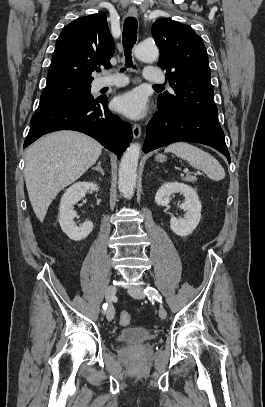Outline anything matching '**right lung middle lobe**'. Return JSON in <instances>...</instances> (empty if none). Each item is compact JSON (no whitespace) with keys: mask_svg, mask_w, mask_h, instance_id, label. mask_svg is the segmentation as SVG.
<instances>
[{"mask_svg":"<svg viewBox=\"0 0 265 407\" xmlns=\"http://www.w3.org/2000/svg\"><path fill=\"white\" fill-rule=\"evenodd\" d=\"M90 83L61 80L47 82L36 112L93 99Z\"/></svg>","mask_w":265,"mask_h":407,"instance_id":"1","label":"right lung middle lobe"}]
</instances>
